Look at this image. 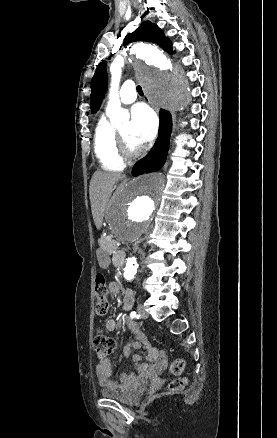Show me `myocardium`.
Listing matches in <instances>:
<instances>
[{
    "label": "myocardium",
    "mask_w": 277,
    "mask_h": 438,
    "mask_svg": "<svg viewBox=\"0 0 277 438\" xmlns=\"http://www.w3.org/2000/svg\"><path fill=\"white\" fill-rule=\"evenodd\" d=\"M115 144L121 157L125 160L131 159L138 155V151H132L124 136L118 131H115Z\"/></svg>",
    "instance_id": "obj_1"
}]
</instances>
